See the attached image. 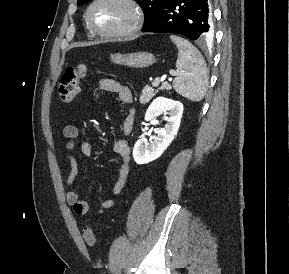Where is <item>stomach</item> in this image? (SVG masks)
I'll use <instances>...</instances> for the list:
<instances>
[{"mask_svg":"<svg viewBox=\"0 0 289 274\" xmlns=\"http://www.w3.org/2000/svg\"><path fill=\"white\" fill-rule=\"evenodd\" d=\"M110 57L113 63L135 68L148 67L156 62L155 56L148 52L111 54Z\"/></svg>","mask_w":289,"mask_h":274,"instance_id":"0dacf381","label":"stomach"}]
</instances>
